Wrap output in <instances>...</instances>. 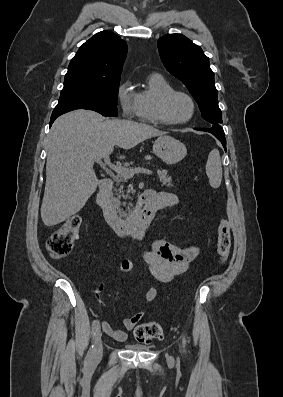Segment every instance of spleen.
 I'll use <instances>...</instances> for the list:
<instances>
[{
	"label": "spleen",
	"instance_id": "1",
	"mask_svg": "<svg viewBox=\"0 0 283 397\" xmlns=\"http://www.w3.org/2000/svg\"><path fill=\"white\" fill-rule=\"evenodd\" d=\"M206 174L211 187L218 188L222 180V166L219 151L213 149L208 156L206 163Z\"/></svg>",
	"mask_w": 283,
	"mask_h": 397
}]
</instances>
